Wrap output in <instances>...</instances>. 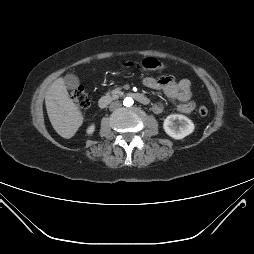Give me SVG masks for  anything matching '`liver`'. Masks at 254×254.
<instances>
[{"mask_svg":"<svg viewBox=\"0 0 254 254\" xmlns=\"http://www.w3.org/2000/svg\"><path fill=\"white\" fill-rule=\"evenodd\" d=\"M45 105L54 130L70 139L83 123V115L70 98L63 78L56 79L45 96Z\"/></svg>","mask_w":254,"mask_h":254,"instance_id":"1","label":"liver"}]
</instances>
